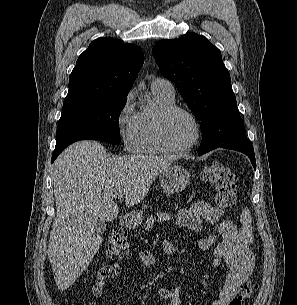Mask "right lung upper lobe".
I'll list each match as a JSON object with an SVG mask.
<instances>
[{"instance_id": "right-lung-upper-lobe-1", "label": "right lung upper lobe", "mask_w": 297, "mask_h": 305, "mask_svg": "<svg viewBox=\"0 0 297 305\" xmlns=\"http://www.w3.org/2000/svg\"><path fill=\"white\" fill-rule=\"evenodd\" d=\"M144 62L136 45L98 38L78 58L64 103L83 98L127 96Z\"/></svg>"}]
</instances>
